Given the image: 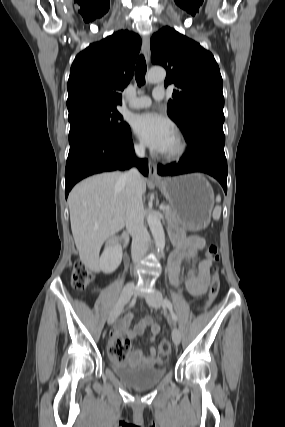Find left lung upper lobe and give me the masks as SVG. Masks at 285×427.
I'll return each instance as SVG.
<instances>
[{"label":"left lung upper lobe","instance_id":"obj_1","mask_svg":"<svg viewBox=\"0 0 285 427\" xmlns=\"http://www.w3.org/2000/svg\"><path fill=\"white\" fill-rule=\"evenodd\" d=\"M150 46L152 63L167 71L165 87L174 83L178 88L167 113L186 141L205 129L223 132V80L213 55L167 26L152 36Z\"/></svg>","mask_w":285,"mask_h":427}]
</instances>
